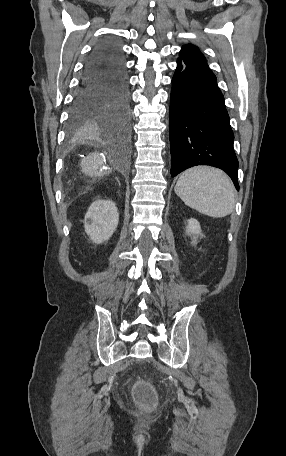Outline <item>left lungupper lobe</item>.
<instances>
[{"mask_svg": "<svg viewBox=\"0 0 286 456\" xmlns=\"http://www.w3.org/2000/svg\"><path fill=\"white\" fill-rule=\"evenodd\" d=\"M178 60L194 61L207 65L206 58L200 53L199 49L192 44H187L182 47Z\"/></svg>", "mask_w": 286, "mask_h": 456, "instance_id": "5c2ea615", "label": "left lung upper lobe"}]
</instances>
